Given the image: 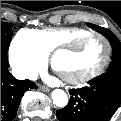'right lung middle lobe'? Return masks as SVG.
Masks as SVG:
<instances>
[{
	"label": "right lung middle lobe",
	"mask_w": 121,
	"mask_h": 121,
	"mask_svg": "<svg viewBox=\"0 0 121 121\" xmlns=\"http://www.w3.org/2000/svg\"><path fill=\"white\" fill-rule=\"evenodd\" d=\"M11 28V24L1 22V53L7 54L8 52V47L12 36Z\"/></svg>",
	"instance_id": "right-lung-middle-lobe-1"
}]
</instances>
